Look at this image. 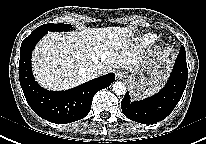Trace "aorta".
<instances>
[{"instance_id":"1","label":"aorta","mask_w":206,"mask_h":144,"mask_svg":"<svg viewBox=\"0 0 206 144\" xmlns=\"http://www.w3.org/2000/svg\"><path fill=\"white\" fill-rule=\"evenodd\" d=\"M112 91L118 96L124 95L126 93V86L123 82L116 81L112 85Z\"/></svg>"}]
</instances>
